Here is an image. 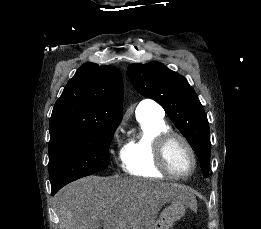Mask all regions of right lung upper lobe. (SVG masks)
Returning <instances> with one entry per match:
<instances>
[{
	"mask_svg": "<svg viewBox=\"0 0 261 229\" xmlns=\"http://www.w3.org/2000/svg\"><path fill=\"white\" fill-rule=\"evenodd\" d=\"M123 82L118 68L85 63L69 80L50 118L49 146L95 126L119 125Z\"/></svg>",
	"mask_w": 261,
	"mask_h": 229,
	"instance_id": "cb5924a9",
	"label": "right lung upper lobe"
}]
</instances>
